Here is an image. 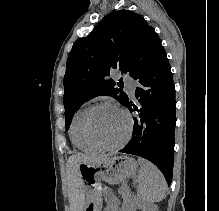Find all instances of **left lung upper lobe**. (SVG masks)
Here are the masks:
<instances>
[{"mask_svg": "<svg viewBox=\"0 0 219 211\" xmlns=\"http://www.w3.org/2000/svg\"><path fill=\"white\" fill-rule=\"evenodd\" d=\"M164 48L153 27L130 10L113 11L84 38L75 41L64 76L66 130L77 109L97 96H111L123 104V81L108 78L114 70L132 78L143 72ZM119 86L120 88H117Z\"/></svg>", "mask_w": 219, "mask_h": 211, "instance_id": "5c2ea615", "label": "left lung upper lobe"}]
</instances>
